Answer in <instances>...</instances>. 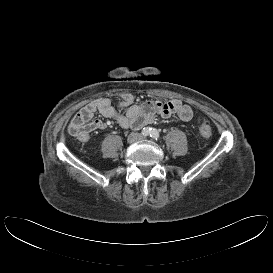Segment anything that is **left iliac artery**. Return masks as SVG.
<instances>
[{
    "mask_svg": "<svg viewBox=\"0 0 273 273\" xmlns=\"http://www.w3.org/2000/svg\"><path fill=\"white\" fill-rule=\"evenodd\" d=\"M150 136L153 139L158 140L159 139V132L157 131V129H151Z\"/></svg>",
    "mask_w": 273,
    "mask_h": 273,
    "instance_id": "1",
    "label": "left iliac artery"
}]
</instances>
